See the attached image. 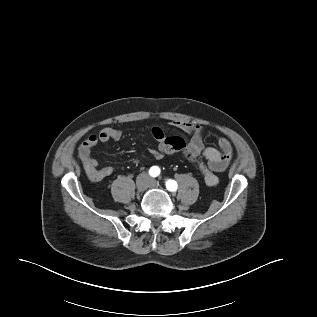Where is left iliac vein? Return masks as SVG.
I'll return each mask as SVG.
<instances>
[{
    "mask_svg": "<svg viewBox=\"0 0 317 317\" xmlns=\"http://www.w3.org/2000/svg\"><path fill=\"white\" fill-rule=\"evenodd\" d=\"M149 187H151V188H157V187H158L157 181H155L154 179H150V180H149Z\"/></svg>",
    "mask_w": 317,
    "mask_h": 317,
    "instance_id": "1",
    "label": "left iliac vein"
}]
</instances>
